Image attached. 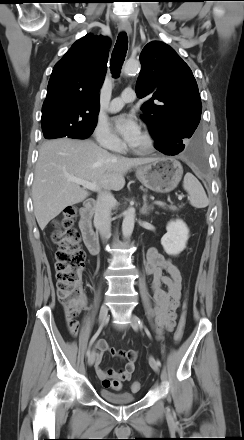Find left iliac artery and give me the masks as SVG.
I'll list each match as a JSON object with an SVG mask.
<instances>
[{
    "instance_id": "44dca946",
    "label": "left iliac artery",
    "mask_w": 244,
    "mask_h": 440,
    "mask_svg": "<svg viewBox=\"0 0 244 440\" xmlns=\"http://www.w3.org/2000/svg\"><path fill=\"white\" fill-rule=\"evenodd\" d=\"M139 324L143 326V320H139ZM146 332L148 333V330L145 328ZM156 364L158 366H161V362L159 360L156 361Z\"/></svg>"
}]
</instances>
